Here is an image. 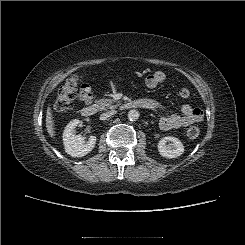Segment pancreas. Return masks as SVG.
Masks as SVG:
<instances>
[{"instance_id": "pancreas-1", "label": "pancreas", "mask_w": 245, "mask_h": 245, "mask_svg": "<svg viewBox=\"0 0 245 245\" xmlns=\"http://www.w3.org/2000/svg\"><path fill=\"white\" fill-rule=\"evenodd\" d=\"M112 99H100L95 101V106L98 110L111 109L114 110L118 107V105L113 104Z\"/></svg>"}]
</instances>
